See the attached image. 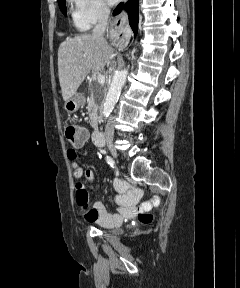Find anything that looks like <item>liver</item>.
<instances>
[{
	"mask_svg": "<svg viewBox=\"0 0 240 288\" xmlns=\"http://www.w3.org/2000/svg\"><path fill=\"white\" fill-rule=\"evenodd\" d=\"M114 50L90 34L68 37L58 49V75L63 100L68 101L92 70L97 73L113 58Z\"/></svg>",
	"mask_w": 240,
	"mask_h": 288,
	"instance_id": "1",
	"label": "liver"
}]
</instances>
